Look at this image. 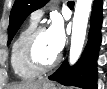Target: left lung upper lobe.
Wrapping results in <instances>:
<instances>
[{
    "label": "left lung upper lobe",
    "instance_id": "obj_1",
    "mask_svg": "<svg viewBox=\"0 0 107 89\" xmlns=\"http://www.w3.org/2000/svg\"><path fill=\"white\" fill-rule=\"evenodd\" d=\"M48 0H15L13 8L10 13V24L8 27V45L13 39L14 35L20 28L27 16L41 8Z\"/></svg>",
    "mask_w": 107,
    "mask_h": 89
}]
</instances>
